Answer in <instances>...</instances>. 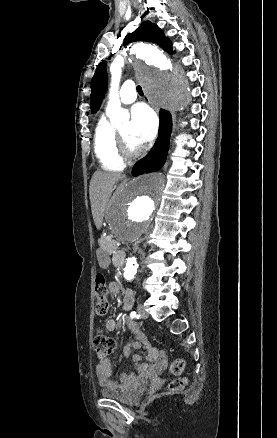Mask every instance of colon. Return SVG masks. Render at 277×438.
<instances>
[{
  "mask_svg": "<svg viewBox=\"0 0 277 438\" xmlns=\"http://www.w3.org/2000/svg\"><path fill=\"white\" fill-rule=\"evenodd\" d=\"M95 311L100 316H105L109 310V301L107 300L106 278L102 273H97L95 276ZM93 347L97 356L101 360H105L114 350V339L105 334L102 330H98L93 338ZM184 360L176 358L173 360L170 373L171 375H178L183 372ZM188 380L182 378L169 381L170 390L188 389Z\"/></svg>",
  "mask_w": 277,
  "mask_h": 438,
  "instance_id": "colon-1",
  "label": "colon"
}]
</instances>
